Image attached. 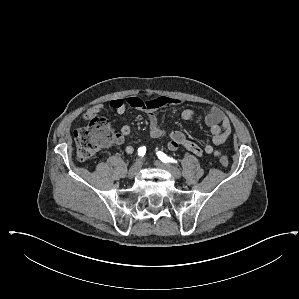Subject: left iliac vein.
<instances>
[{"mask_svg": "<svg viewBox=\"0 0 299 299\" xmlns=\"http://www.w3.org/2000/svg\"><path fill=\"white\" fill-rule=\"evenodd\" d=\"M155 166L160 168V169H163L167 172H169L174 178H180L181 177V172L178 168H176L175 166H171V165H168V164H165V163H162L160 161H155Z\"/></svg>", "mask_w": 299, "mask_h": 299, "instance_id": "4c4485c4", "label": "left iliac vein"}]
</instances>
